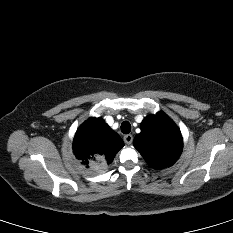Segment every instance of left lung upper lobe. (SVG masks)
I'll use <instances>...</instances> for the list:
<instances>
[{
	"label": "left lung upper lobe",
	"instance_id": "obj_1",
	"mask_svg": "<svg viewBox=\"0 0 233 233\" xmlns=\"http://www.w3.org/2000/svg\"><path fill=\"white\" fill-rule=\"evenodd\" d=\"M182 135L175 123L163 112L149 115L141 123L134 146L154 169L173 165L182 151Z\"/></svg>",
	"mask_w": 233,
	"mask_h": 233
}]
</instances>
